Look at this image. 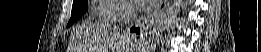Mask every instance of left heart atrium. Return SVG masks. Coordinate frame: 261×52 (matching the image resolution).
<instances>
[{
  "label": "left heart atrium",
  "instance_id": "obj_1",
  "mask_svg": "<svg viewBox=\"0 0 261 52\" xmlns=\"http://www.w3.org/2000/svg\"><path fill=\"white\" fill-rule=\"evenodd\" d=\"M133 3L136 5L137 8L150 9L155 6L157 1L156 0H133Z\"/></svg>",
  "mask_w": 261,
  "mask_h": 52
}]
</instances>
